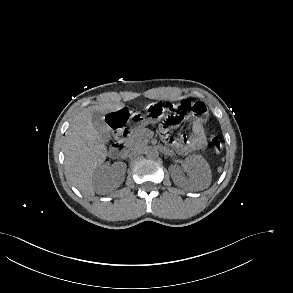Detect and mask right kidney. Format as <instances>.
<instances>
[{"instance_id":"right-kidney-1","label":"right kidney","mask_w":293,"mask_h":293,"mask_svg":"<svg viewBox=\"0 0 293 293\" xmlns=\"http://www.w3.org/2000/svg\"><path fill=\"white\" fill-rule=\"evenodd\" d=\"M125 172L126 164L122 162H115L111 166L106 163L100 166L95 172V187L99 189L108 183H114L115 186H119L124 180Z\"/></svg>"}]
</instances>
